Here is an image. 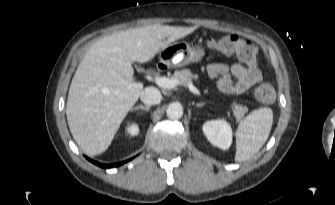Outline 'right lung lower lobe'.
I'll return each instance as SVG.
<instances>
[{
    "label": "right lung lower lobe",
    "mask_w": 335,
    "mask_h": 205,
    "mask_svg": "<svg viewBox=\"0 0 335 205\" xmlns=\"http://www.w3.org/2000/svg\"><path fill=\"white\" fill-rule=\"evenodd\" d=\"M89 161H91L92 163L96 164L97 166H100L102 168H111V167H117V166H120L122 164H124L125 162H119V163H115V164H101L99 162H96L90 158H87Z\"/></svg>",
    "instance_id": "obj_1"
}]
</instances>
